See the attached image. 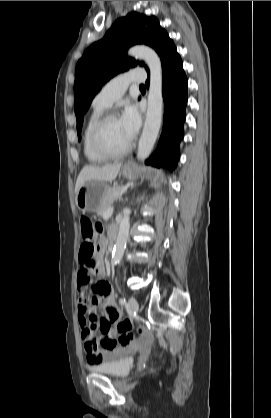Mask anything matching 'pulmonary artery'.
<instances>
[{
  "label": "pulmonary artery",
  "mask_w": 271,
  "mask_h": 418,
  "mask_svg": "<svg viewBox=\"0 0 271 418\" xmlns=\"http://www.w3.org/2000/svg\"><path fill=\"white\" fill-rule=\"evenodd\" d=\"M144 81L145 72L141 69H133L121 73L102 87L93 99V106L107 109L123 96L130 83H142Z\"/></svg>",
  "instance_id": "1"
}]
</instances>
